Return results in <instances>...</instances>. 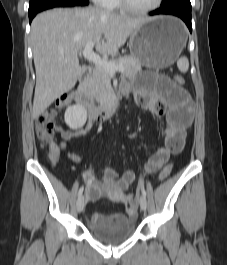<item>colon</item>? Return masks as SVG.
Masks as SVG:
<instances>
[{
    "label": "colon",
    "instance_id": "5ec220e1",
    "mask_svg": "<svg viewBox=\"0 0 227 265\" xmlns=\"http://www.w3.org/2000/svg\"><path fill=\"white\" fill-rule=\"evenodd\" d=\"M174 82L176 85L180 86L184 84V78L181 75H175L174 76ZM72 98L70 95H63L59 99L56 100L55 105L53 107H50L39 114L36 120V132L38 138L49 144L51 147L54 145V135H55V117L57 114V111L66 105H68L71 102ZM173 165L167 164L164 166L162 171L159 174V179L164 180L166 179L171 171H172ZM128 201L131 207L136 206L137 203V196L134 194H130L128 196Z\"/></svg>",
    "mask_w": 227,
    "mask_h": 265
}]
</instances>
